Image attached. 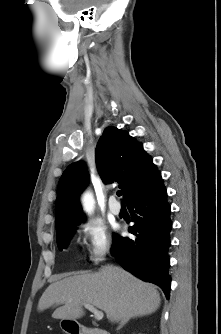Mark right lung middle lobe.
<instances>
[{
  "instance_id": "1",
  "label": "right lung middle lobe",
  "mask_w": 221,
  "mask_h": 334,
  "mask_svg": "<svg viewBox=\"0 0 221 334\" xmlns=\"http://www.w3.org/2000/svg\"><path fill=\"white\" fill-rule=\"evenodd\" d=\"M75 225H71L63 229L60 233L57 234V244L59 249L66 248L68 246L69 240L74 233Z\"/></svg>"
}]
</instances>
